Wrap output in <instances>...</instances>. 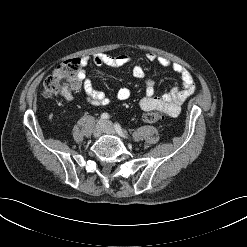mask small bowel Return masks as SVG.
<instances>
[{
	"mask_svg": "<svg viewBox=\"0 0 247 247\" xmlns=\"http://www.w3.org/2000/svg\"><path fill=\"white\" fill-rule=\"evenodd\" d=\"M146 58L149 62L158 63L159 65L170 68L172 71L177 73L181 78V85L159 97L156 95L154 81L146 77L142 66L135 65L133 67V75L135 78L141 80L145 86V94L140 100L141 109L144 111L161 110L171 117L178 116L182 104L194 93L196 89L191 73L183 65L164 56L150 52L146 55ZM131 61V56L126 54L112 56L106 53H96L92 56L82 57L80 59L79 81L86 100L89 103L98 106H106L110 103V97L104 92L96 90L87 75L88 67L91 64L120 68L129 64ZM130 95V90L126 87H121L116 92V98L119 101L127 100Z\"/></svg>",
	"mask_w": 247,
	"mask_h": 247,
	"instance_id": "1",
	"label": "small bowel"
}]
</instances>
